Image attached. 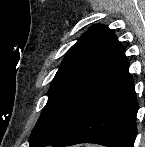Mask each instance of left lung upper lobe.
<instances>
[{
    "label": "left lung upper lobe",
    "instance_id": "5c2ea615",
    "mask_svg": "<svg viewBox=\"0 0 145 147\" xmlns=\"http://www.w3.org/2000/svg\"><path fill=\"white\" fill-rule=\"evenodd\" d=\"M116 43L111 29L94 25L69 49L31 134V147H43L67 129Z\"/></svg>",
    "mask_w": 145,
    "mask_h": 147
}]
</instances>
